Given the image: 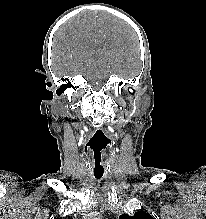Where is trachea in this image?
Instances as JSON below:
<instances>
[{"label": "trachea", "mask_w": 206, "mask_h": 219, "mask_svg": "<svg viewBox=\"0 0 206 219\" xmlns=\"http://www.w3.org/2000/svg\"><path fill=\"white\" fill-rule=\"evenodd\" d=\"M102 175H95V178L100 179Z\"/></svg>", "instance_id": "trachea-1"}]
</instances>
